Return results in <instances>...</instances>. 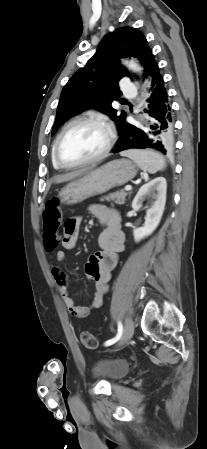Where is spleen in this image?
<instances>
[{
    "mask_svg": "<svg viewBox=\"0 0 207 449\" xmlns=\"http://www.w3.org/2000/svg\"><path fill=\"white\" fill-rule=\"evenodd\" d=\"M121 155L132 159L140 169L152 174L166 167L164 157L153 150L131 149L122 152Z\"/></svg>",
    "mask_w": 207,
    "mask_h": 449,
    "instance_id": "3e777b00",
    "label": "spleen"
}]
</instances>
